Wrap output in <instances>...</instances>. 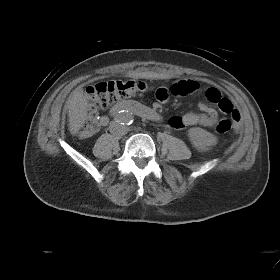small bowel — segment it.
Here are the masks:
<instances>
[{"label": "small bowel", "instance_id": "1", "mask_svg": "<svg viewBox=\"0 0 280 280\" xmlns=\"http://www.w3.org/2000/svg\"><path fill=\"white\" fill-rule=\"evenodd\" d=\"M198 89H199V83L195 80H190V79L179 80V81L175 82L174 84H172L170 87L159 88L156 91V97L159 101L164 102L170 96H184V95L192 94V93L196 92ZM210 89H214V88H210ZM207 91H206V93H207ZM216 91L218 93H220L218 90H216ZM161 92H163L165 94L164 98L160 97ZM206 93H205V95H206ZM206 99L208 101L212 102L207 97V95H206ZM231 108L233 110L237 111L233 107L232 103H231ZM199 110H200V112H198V113H187L182 116H174L169 120V125L173 129H176V130H182V129L190 128L193 126H202V127L212 128L217 125L218 114L212 107H210L205 102H200ZM221 111L226 113V111L223 109H221ZM105 122H106V119L102 118L100 120V125H104ZM92 134H93V130H84L80 133V137L87 138V137H90Z\"/></svg>", "mask_w": 280, "mask_h": 280}]
</instances>
